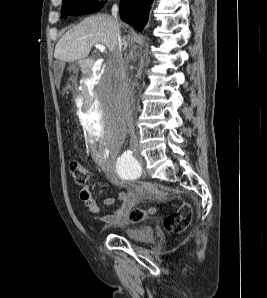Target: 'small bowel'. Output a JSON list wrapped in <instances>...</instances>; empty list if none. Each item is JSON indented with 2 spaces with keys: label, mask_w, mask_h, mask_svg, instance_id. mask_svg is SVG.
Masks as SVG:
<instances>
[{
  "label": "small bowel",
  "mask_w": 267,
  "mask_h": 298,
  "mask_svg": "<svg viewBox=\"0 0 267 298\" xmlns=\"http://www.w3.org/2000/svg\"><path fill=\"white\" fill-rule=\"evenodd\" d=\"M110 180L118 185L123 186L124 182L117 175L111 174ZM139 191L135 187H131L127 192L121 191L117 195V200L121 201L120 207L109 214H105L99 217V220L108 226L118 227L127 223V214L133 207L136 201V197ZM79 197L83 204L89 209L93 214H98L100 212V207L96 200L93 198L91 191L86 186L79 194ZM115 198L108 197L104 200V204L109 206L115 202Z\"/></svg>",
  "instance_id": "1"
}]
</instances>
